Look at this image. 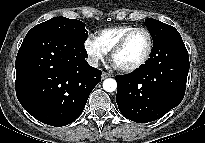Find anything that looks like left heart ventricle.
<instances>
[{"mask_svg": "<svg viewBox=\"0 0 205 143\" xmlns=\"http://www.w3.org/2000/svg\"><path fill=\"white\" fill-rule=\"evenodd\" d=\"M148 48V37L145 32L137 31L128 39L125 47L114 57L117 67H129L138 63Z\"/></svg>", "mask_w": 205, "mask_h": 143, "instance_id": "b2bd125f", "label": "left heart ventricle"}]
</instances>
